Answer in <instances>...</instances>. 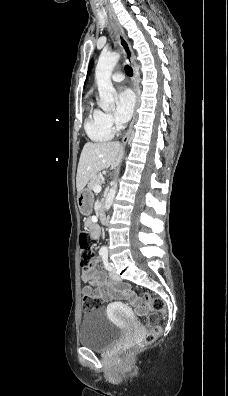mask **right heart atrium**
I'll list each match as a JSON object with an SVG mask.
<instances>
[{
    "label": "right heart atrium",
    "mask_w": 228,
    "mask_h": 396,
    "mask_svg": "<svg viewBox=\"0 0 228 396\" xmlns=\"http://www.w3.org/2000/svg\"><path fill=\"white\" fill-rule=\"evenodd\" d=\"M103 119L105 124L112 129H116L119 126V123L111 113H103Z\"/></svg>",
    "instance_id": "d8ad5b80"
}]
</instances>
